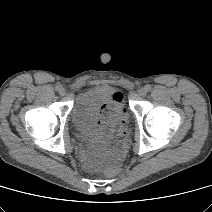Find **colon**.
<instances>
[{"instance_id":"colon-1","label":"colon","mask_w":212,"mask_h":212,"mask_svg":"<svg viewBox=\"0 0 212 212\" xmlns=\"http://www.w3.org/2000/svg\"><path fill=\"white\" fill-rule=\"evenodd\" d=\"M110 174L112 176H115L118 174V168L117 167H113L112 169H110Z\"/></svg>"}]
</instances>
